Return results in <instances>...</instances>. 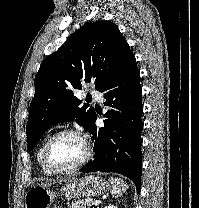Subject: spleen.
I'll return each mask as SVG.
<instances>
[{"mask_svg": "<svg viewBox=\"0 0 199 208\" xmlns=\"http://www.w3.org/2000/svg\"><path fill=\"white\" fill-rule=\"evenodd\" d=\"M109 181L112 185V195L115 197L121 196L128 189V185L120 178L110 177Z\"/></svg>", "mask_w": 199, "mask_h": 208, "instance_id": "obj_1", "label": "spleen"}]
</instances>
